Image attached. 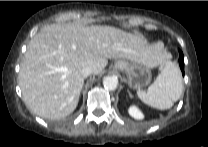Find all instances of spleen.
I'll return each mask as SVG.
<instances>
[{
    "label": "spleen",
    "mask_w": 208,
    "mask_h": 147,
    "mask_svg": "<svg viewBox=\"0 0 208 147\" xmlns=\"http://www.w3.org/2000/svg\"><path fill=\"white\" fill-rule=\"evenodd\" d=\"M182 93L181 71L177 64L172 61L165 62L161 72L147 91H137V95L142 102L159 110L171 108Z\"/></svg>",
    "instance_id": "spleen-1"
}]
</instances>
